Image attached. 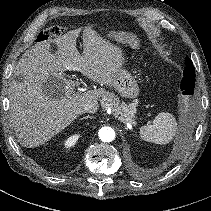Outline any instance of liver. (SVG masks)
Returning <instances> with one entry per match:
<instances>
[{"instance_id":"liver-1","label":"liver","mask_w":211,"mask_h":211,"mask_svg":"<svg viewBox=\"0 0 211 211\" xmlns=\"http://www.w3.org/2000/svg\"><path fill=\"white\" fill-rule=\"evenodd\" d=\"M81 29L35 44L26 50L14 69L10 86V119L17 139L24 147L43 145L70 125L83 111L86 103H96L103 89L88 90L67 95L63 91L57 98L48 95L43 85L51 76L59 77L63 71H78L87 78L113 86L114 78L123 68L124 57L119 47L103 39L92 25L83 30L84 54L81 56L76 40ZM50 43L57 45L50 52ZM19 78V80H16Z\"/></svg>"}]
</instances>
